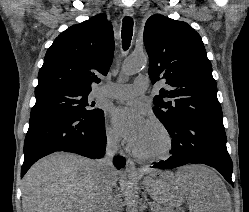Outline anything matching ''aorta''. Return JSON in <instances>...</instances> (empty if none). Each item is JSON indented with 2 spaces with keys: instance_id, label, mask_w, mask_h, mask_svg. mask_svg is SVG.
Here are the masks:
<instances>
[{
  "instance_id": "762f6f07",
  "label": "aorta",
  "mask_w": 249,
  "mask_h": 212,
  "mask_svg": "<svg viewBox=\"0 0 249 212\" xmlns=\"http://www.w3.org/2000/svg\"><path fill=\"white\" fill-rule=\"evenodd\" d=\"M147 63V57L144 54H132L129 56L123 66L122 74L125 76L133 75L139 72ZM139 203L138 186L133 182L127 191L126 212H137Z\"/></svg>"
}]
</instances>
